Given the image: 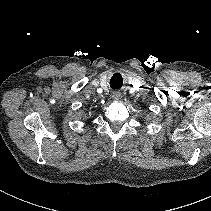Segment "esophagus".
Masks as SVG:
<instances>
[{
  "mask_svg": "<svg viewBox=\"0 0 211 211\" xmlns=\"http://www.w3.org/2000/svg\"><path fill=\"white\" fill-rule=\"evenodd\" d=\"M120 98H121V94H118V93L113 94V99L119 100Z\"/></svg>",
  "mask_w": 211,
  "mask_h": 211,
  "instance_id": "esophagus-1",
  "label": "esophagus"
}]
</instances>
